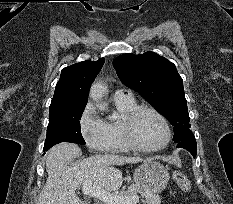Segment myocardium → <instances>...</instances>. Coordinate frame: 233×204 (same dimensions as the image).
Masks as SVG:
<instances>
[{"label": "myocardium", "instance_id": "f54148a6", "mask_svg": "<svg viewBox=\"0 0 233 204\" xmlns=\"http://www.w3.org/2000/svg\"><path fill=\"white\" fill-rule=\"evenodd\" d=\"M142 112H151L155 116H157L159 120L162 122L165 128V131H166V138L161 145L154 147V148H147V147L142 146L138 142L136 133H135V122H136L137 117ZM122 128H123L124 137H125V140L128 146L132 150H135L141 153H154V152H158V151L165 149L170 143L171 137H172L171 128H170V125L166 117L159 110L151 106H147V105H138L132 110H130L123 118Z\"/></svg>", "mask_w": 233, "mask_h": 204}]
</instances>
